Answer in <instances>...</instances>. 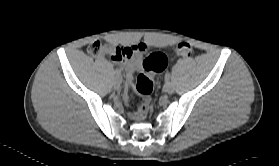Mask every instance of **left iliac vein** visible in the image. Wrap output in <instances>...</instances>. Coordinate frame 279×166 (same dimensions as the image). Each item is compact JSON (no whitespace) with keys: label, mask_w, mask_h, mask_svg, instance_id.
<instances>
[{"label":"left iliac vein","mask_w":279,"mask_h":166,"mask_svg":"<svg viewBox=\"0 0 279 166\" xmlns=\"http://www.w3.org/2000/svg\"><path fill=\"white\" fill-rule=\"evenodd\" d=\"M174 86L171 82H166V84L164 85V91L168 94H172L174 93Z\"/></svg>","instance_id":"4c4485c4"}]
</instances>
